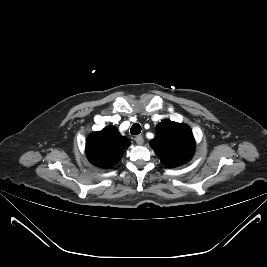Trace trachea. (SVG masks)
I'll return each instance as SVG.
<instances>
[{
    "instance_id": "obj_1",
    "label": "trachea",
    "mask_w": 267,
    "mask_h": 267,
    "mask_svg": "<svg viewBox=\"0 0 267 267\" xmlns=\"http://www.w3.org/2000/svg\"><path fill=\"white\" fill-rule=\"evenodd\" d=\"M140 132H141V126L138 123L133 124L130 129V133L132 135H137L140 134Z\"/></svg>"
}]
</instances>
